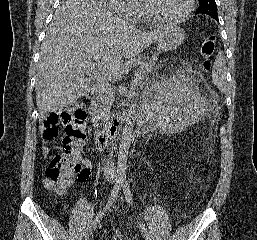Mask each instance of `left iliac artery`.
<instances>
[{
  "instance_id": "1",
  "label": "left iliac artery",
  "mask_w": 257,
  "mask_h": 240,
  "mask_svg": "<svg viewBox=\"0 0 257 240\" xmlns=\"http://www.w3.org/2000/svg\"><path fill=\"white\" fill-rule=\"evenodd\" d=\"M123 191H124L126 201L128 202L129 205L132 206L133 205V198H132V194H131V191H130V188H129V185H128L127 182H124V184H123ZM140 227H141L142 232L144 234L145 240H149L150 239L149 233H148L147 228L145 227V225L143 223H141Z\"/></svg>"
}]
</instances>
